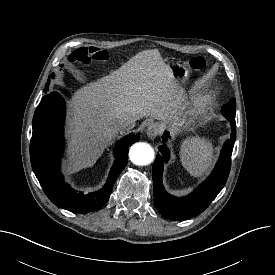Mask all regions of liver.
Segmentation results:
<instances>
[{"label":"liver","mask_w":275,"mask_h":275,"mask_svg":"<svg viewBox=\"0 0 275 275\" xmlns=\"http://www.w3.org/2000/svg\"><path fill=\"white\" fill-rule=\"evenodd\" d=\"M180 92L157 49L144 50L118 70L76 91L69 103L70 160L94 162L120 131L125 116L165 120L175 113Z\"/></svg>","instance_id":"obj_1"}]
</instances>
